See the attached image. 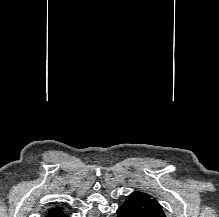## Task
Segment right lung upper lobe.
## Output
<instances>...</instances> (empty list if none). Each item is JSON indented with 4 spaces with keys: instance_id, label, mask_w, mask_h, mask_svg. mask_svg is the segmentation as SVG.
Here are the masks:
<instances>
[{
    "instance_id": "1",
    "label": "right lung upper lobe",
    "mask_w": 219,
    "mask_h": 217,
    "mask_svg": "<svg viewBox=\"0 0 219 217\" xmlns=\"http://www.w3.org/2000/svg\"><path fill=\"white\" fill-rule=\"evenodd\" d=\"M59 207H54V208H52V209H50L49 211H53V210H56V209H58Z\"/></svg>"
}]
</instances>
